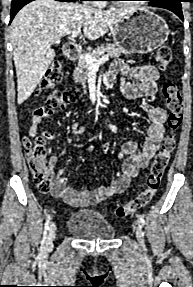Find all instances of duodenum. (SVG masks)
Returning <instances> with one entry per match:
<instances>
[{
	"mask_svg": "<svg viewBox=\"0 0 193 287\" xmlns=\"http://www.w3.org/2000/svg\"><path fill=\"white\" fill-rule=\"evenodd\" d=\"M63 53L66 59L75 60L78 57L79 46L76 43L67 44L63 48Z\"/></svg>",
	"mask_w": 193,
	"mask_h": 287,
	"instance_id": "410a0bca",
	"label": "duodenum"
}]
</instances>
